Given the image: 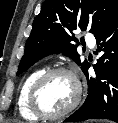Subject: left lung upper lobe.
I'll use <instances>...</instances> for the list:
<instances>
[{
	"mask_svg": "<svg viewBox=\"0 0 118 123\" xmlns=\"http://www.w3.org/2000/svg\"><path fill=\"white\" fill-rule=\"evenodd\" d=\"M117 16L118 0H45L33 21L17 75L39 59L60 52L71 57L84 70L88 62L80 61L74 44L78 43L74 30L88 28L97 36Z\"/></svg>",
	"mask_w": 118,
	"mask_h": 123,
	"instance_id": "5c2ea615",
	"label": "left lung upper lobe"
}]
</instances>
